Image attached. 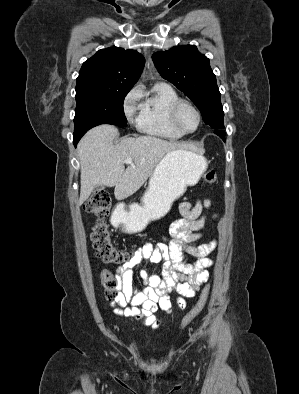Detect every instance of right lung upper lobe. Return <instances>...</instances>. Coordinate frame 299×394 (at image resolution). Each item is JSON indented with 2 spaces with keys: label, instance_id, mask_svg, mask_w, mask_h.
Listing matches in <instances>:
<instances>
[{
  "label": "right lung upper lobe",
  "instance_id": "cb5924a9",
  "mask_svg": "<svg viewBox=\"0 0 299 394\" xmlns=\"http://www.w3.org/2000/svg\"><path fill=\"white\" fill-rule=\"evenodd\" d=\"M145 64L135 50L119 47L101 49L85 61L76 79V89H131L138 81Z\"/></svg>",
  "mask_w": 299,
  "mask_h": 394
}]
</instances>
